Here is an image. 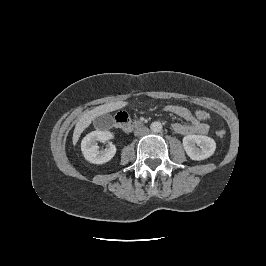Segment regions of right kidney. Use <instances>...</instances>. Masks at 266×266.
<instances>
[{
    "label": "right kidney",
    "mask_w": 266,
    "mask_h": 266,
    "mask_svg": "<svg viewBox=\"0 0 266 266\" xmlns=\"http://www.w3.org/2000/svg\"><path fill=\"white\" fill-rule=\"evenodd\" d=\"M114 137L108 130H96L89 133L81 142V150L84 158L93 164H103L110 161L115 153L116 147L110 143L104 150H99L97 141H107Z\"/></svg>",
    "instance_id": "obj_1"
}]
</instances>
